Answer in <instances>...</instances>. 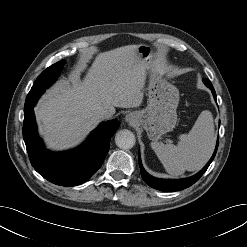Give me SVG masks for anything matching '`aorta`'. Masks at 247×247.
Returning a JSON list of instances; mask_svg holds the SVG:
<instances>
[{
  "instance_id": "aorta-1",
  "label": "aorta",
  "mask_w": 247,
  "mask_h": 247,
  "mask_svg": "<svg viewBox=\"0 0 247 247\" xmlns=\"http://www.w3.org/2000/svg\"><path fill=\"white\" fill-rule=\"evenodd\" d=\"M135 141V135L127 129L120 130L115 135V143L121 149H131Z\"/></svg>"
}]
</instances>
